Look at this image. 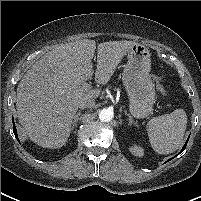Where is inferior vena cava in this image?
<instances>
[{
	"label": "inferior vena cava",
	"instance_id": "inferior-vena-cava-1",
	"mask_svg": "<svg viewBox=\"0 0 201 201\" xmlns=\"http://www.w3.org/2000/svg\"><path fill=\"white\" fill-rule=\"evenodd\" d=\"M94 105H95V100L89 97L82 98L78 103V107L81 109L92 108L94 107Z\"/></svg>",
	"mask_w": 201,
	"mask_h": 201
}]
</instances>
